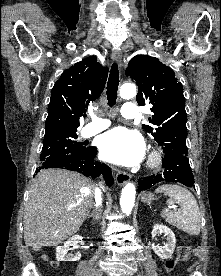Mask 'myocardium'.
Masks as SVG:
<instances>
[{"mask_svg": "<svg viewBox=\"0 0 221 276\" xmlns=\"http://www.w3.org/2000/svg\"><path fill=\"white\" fill-rule=\"evenodd\" d=\"M161 160V154L158 151L153 150L148 157L147 165L150 168L157 167L161 163Z\"/></svg>", "mask_w": 221, "mask_h": 276, "instance_id": "myocardium-1", "label": "myocardium"}]
</instances>
